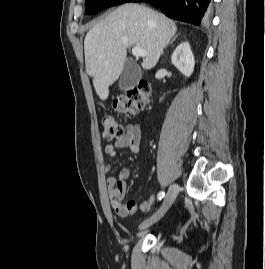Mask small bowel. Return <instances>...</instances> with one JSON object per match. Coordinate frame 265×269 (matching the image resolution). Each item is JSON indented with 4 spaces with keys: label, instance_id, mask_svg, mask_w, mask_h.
I'll return each mask as SVG.
<instances>
[{
    "label": "small bowel",
    "instance_id": "obj_1",
    "mask_svg": "<svg viewBox=\"0 0 265 269\" xmlns=\"http://www.w3.org/2000/svg\"><path fill=\"white\" fill-rule=\"evenodd\" d=\"M141 137V125L139 123H130L126 126L125 132L117 138L115 142L108 143L105 146V153L111 158L117 156L119 149H128L132 153H137L140 149ZM106 170L109 172L111 166L107 165ZM131 174L130 168L122 167L117 176L111 175L106 181L110 204L116 214L121 217H126L139 209L146 212L152 207L155 200V196L151 195L148 200L144 201L140 206L134 200L123 203L127 188L126 181L131 177Z\"/></svg>",
    "mask_w": 265,
    "mask_h": 269
}]
</instances>
